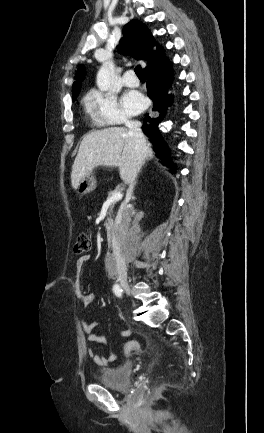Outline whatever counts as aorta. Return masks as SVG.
Returning <instances> with one entry per match:
<instances>
[{"label":"aorta","mask_w":264,"mask_h":433,"mask_svg":"<svg viewBox=\"0 0 264 433\" xmlns=\"http://www.w3.org/2000/svg\"><path fill=\"white\" fill-rule=\"evenodd\" d=\"M97 86L101 91H107L110 87V69L107 64H103L97 73Z\"/></svg>","instance_id":"1"}]
</instances>
